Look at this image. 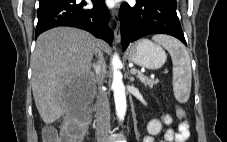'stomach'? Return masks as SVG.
Listing matches in <instances>:
<instances>
[{
	"label": "stomach",
	"instance_id": "obj_1",
	"mask_svg": "<svg viewBox=\"0 0 227 142\" xmlns=\"http://www.w3.org/2000/svg\"><path fill=\"white\" fill-rule=\"evenodd\" d=\"M127 58L141 67L159 69L166 62L167 56L161 46L148 39H141L130 46Z\"/></svg>",
	"mask_w": 227,
	"mask_h": 142
}]
</instances>
